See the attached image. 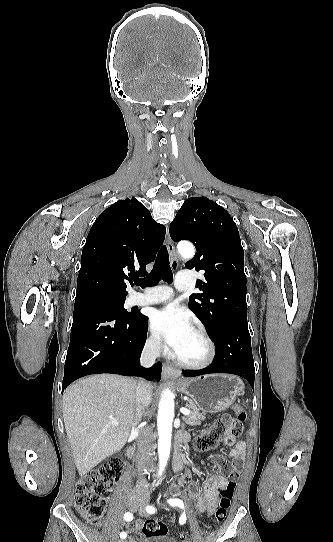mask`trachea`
Instances as JSON below:
<instances>
[{"label": "trachea", "mask_w": 333, "mask_h": 542, "mask_svg": "<svg viewBox=\"0 0 333 542\" xmlns=\"http://www.w3.org/2000/svg\"><path fill=\"white\" fill-rule=\"evenodd\" d=\"M161 279L168 283H171L173 280L172 270L169 265V256L165 246L159 250L151 273L143 279H135L134 283L141 287H151L156 285Z\"/></svg>", "instance_id": "1"}]
</instances>
